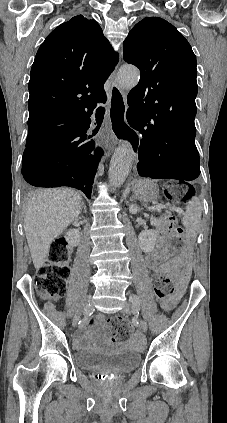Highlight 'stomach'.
Segmentation results:
<instances>
[{
    "label": "stomach",
    "mask_w": 227,
    "mask_h": 423,
    "mask_svg": "<svg viewBox=\"0 0 227 423\" xmlns=\"http://www.w3.org/2000/svg\"><path fill=\"white\" fill-rule=\"evenodd\" d=\"M133 192L140 202H155L159 194L158 186L151 180H141L139 184H135Z\"/></svg>",
    "instance_id": "1"
}]
</instances>
